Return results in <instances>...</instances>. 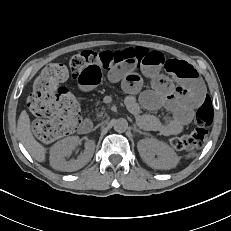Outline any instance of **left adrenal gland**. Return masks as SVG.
Listing matches in <instances>:
<instances>
[{"label":"left adrenal gland","mask_w":231,"mask_h":231,"mask_svg":"<svg viewBox=\"0 0 231 231\" xmlns=\"http://www.w3.org/2000/svg\"><path fill=\"white\" fill-rule=\"evenodd\" d=\"M134 131H135V132H138V133H140V134H143V135H148L147 133L142 132L140 129H138V128H136V127H134Z\"/></svg>","instance_id":"obj_1"}]
</instances>
